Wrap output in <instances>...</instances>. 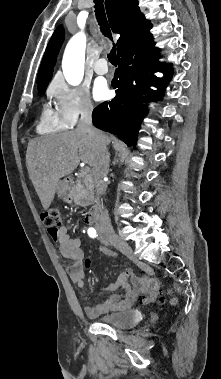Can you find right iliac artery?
I'll return each instance as SVG.
<instances>
[{
  "mask_svg": "<svg viewBox=\"0 0 221 379\" xmlns=\"http://www.w3.org/2000/svg\"><path fill=\"white\" fill-rule=\"evenodd\" d=\"M88 235L91 237V238H95L97 236V233H96V230L94 228H89L88 229Z\"/></svg>",
  "mask_w": 221,
  "mask_h": 379,
  "instance_id": "1",
  "label": "right iliac artery"
}]
</instances>
